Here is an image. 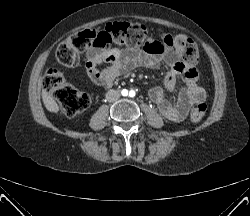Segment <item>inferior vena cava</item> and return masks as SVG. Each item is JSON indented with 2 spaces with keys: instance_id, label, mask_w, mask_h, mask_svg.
<instances>
[{
  "instance_id": "602c4592",
  "label": "inferior vena cava",
  "mask_w": 250,
  "mask_h": 216,
  "mask_svg": "<svg viewBox=\"0 0 250 216\" xmlns=\"http://www.w3.org/2000/svg\"><path fill=\"white\" fill-rule=\"evenodd\" d=\"M119 98H120L119 91L112 89L106 93V99L108 102H114V101L118 100Z\"/></svg>"
}]
</instances>
